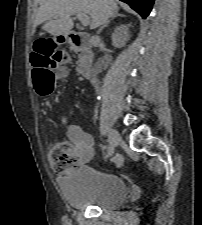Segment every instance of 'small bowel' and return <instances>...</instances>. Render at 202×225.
<instances>
[{
    "label": "small bowel",
    "mask_w": 202,
    "mask_h": 225,
    "mask_svg": "<svg viewBox=\"0 0 202 225\" xmlns=\"http://www.w3.org/2000/svg\"><path fill=\"white\" fill-rule=\"evenodd\" d=\"M33 60V56H31ZM61 122H66V117L60 116ZM67 136L77 148V157L80 164L89 163L94 155V140L90 133L78 124H70L67 127Z\"/></svg>",
    "instance_id": "obj_1"
}]
</instances>
